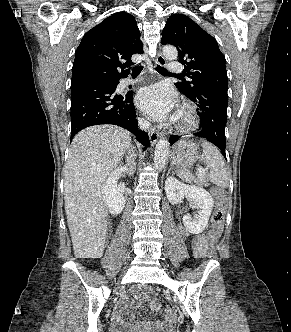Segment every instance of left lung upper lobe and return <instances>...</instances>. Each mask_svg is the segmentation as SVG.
I'll return each mask as SVG.
<instances>
[{
	"label": "left lung upper lobe",
	"mask_w": 291,
	"mask_h": 332,
	"mask_svg": "<svg viewBox=\"0 0 291 332\" xmlns=\"http://www.w3.org/2000/svg\"><path fill=\"white\" fill-rule=\"evenodd\" d=\"M161 44L174 45L179 51V62L192 81L175 85L186 96L201 90L227 91L225 57L216 40L183 14L171 15L162 31Z\"/></svg>",
	"instance_id": "obj_1"
}]
</instances>
